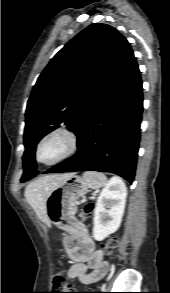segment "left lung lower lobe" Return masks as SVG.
Segmentation results:
<instances>
[{"label": "left lung lower lobe", "instance_id": "left-lung-lower-lobe-1", "mask_svg": "<svg viewBox=\"0 0 170 293\" xmlns=\"http://www.w3.org/2000/svg\"><path fill=\"white\" fill-rule=\"evenodd\" d=\"M142 112V80L132 53L77 135V153L44 173L111 172L132 183Z\"/></svg>", "mask_w": 170, "mask_h": 293}]
</instances>
